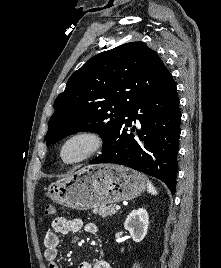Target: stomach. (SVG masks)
Masks as SVG:
<instances>
[{"mask_svg": "<svg viewBox=\"0 0 221 268\" xmlns=\"http://www.w3.org/2000/svg\"><path fill=\"white\" fill-rule=\"evenodd\" d=\"M144 175L129 168L112 165H88L48 187V196L68 208L86 210L131 200L146 188Z\"/></svg>", "mask_w": 221, "mask_h": 268, "instance_id": "0dacf381", "label": "stomach"}]
</instances>
